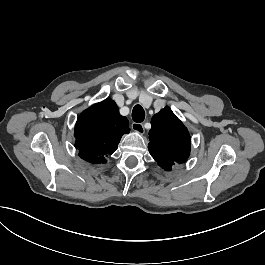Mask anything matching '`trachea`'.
<instances>
[{"label":"trachea","mask_w":265,"mask_h":265,"mask_svg":"<svg viewBox=\"0 0 265 265\" xmlns=\"http://www.w3.org/2000/svg\"><path fill=\"white\" fill-rule=\"evenodd\" d=\"M132 119L137 123H140L145 119V111L141 105L138 104L133 108Z\"/></svg>","instance_id":"obj_1"}]
</instances>
